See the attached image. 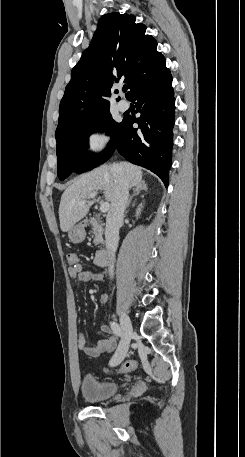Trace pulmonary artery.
Masks as SVG:
<instances>
[{"instance_id": "obj_1", "label": "pulmonary artery", "mask_w": 245, "mask_h": 457, "mask_svg": "<svg viewBox=\"0 0 245 457\" xmlns=\"http://www.w3.org/2000/svg\"><path fill=\"white\" fill-rule=\"evenodd\" d=\"M117 108H118L120 111H122V112L128 110V109H129V103H128V101H126V100H124V99H123V100H120V101L117 103Z\"/></svg>"}]
</instances>
